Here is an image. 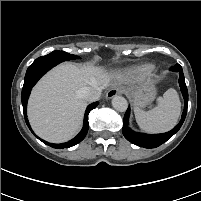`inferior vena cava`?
Segmentation results:
<instances>
[{
    "instance_id": "obj_1",
    "label": "inferior vena cava",
    "mask_w": 201,
    "mask_h": 201,
    "mask_svg": "<svg viewBox=\"0 0 201 201\" xmlns=\"http://www.w3.org/2000/svg\"><path fill=\"white\" fill-rule=\"evenodd\" d=\"M102 88L99 86L85 87L83 97L89 102L97 101L101 96Z\"/></svg>"
}]
</instances>
